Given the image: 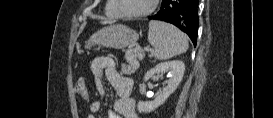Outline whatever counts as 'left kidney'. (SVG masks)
<instances>
[{"instance_id": "5707ae66", "label": "left kidney", "mask_w": 273, "mask_h": 118, "mask_svg": "<svg viewBox=\"0 0 273 118\" xmlns=\"http://www.w3.org/2000/svg\"><path fill=\"white\" fill-rule=\"evenodd\" d=\"M185 71V65L182 61L174 60L156 65L151 70L147 71L144 76V81H148L155 74L168 72V83L163 87L162 92L151 102L139 101L137 108L140 113H150L162 105L168 97L177 89L182 81Z\"/></svg>"}]
</instances>
